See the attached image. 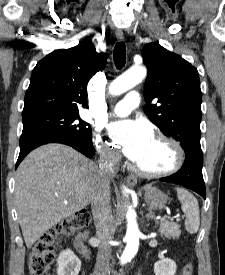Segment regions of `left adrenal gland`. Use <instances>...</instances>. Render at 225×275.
<instances>
[{"mask_svg": "<svg viewBox=\"0 0 225 275\" xmlns=\"http://www.w3.org/2000/svg\"><path fill=\"white\" fill-rule=\"evenodd\" d=\"M147 221H149V220H155V218H154V214H153V212L149 209V211H148V214H147Z\"/></svg>", "mask_w": 225, "mask_h": 275, "instance_id": "a2214340", "label": "left adrenal gland"}]
</instances>
